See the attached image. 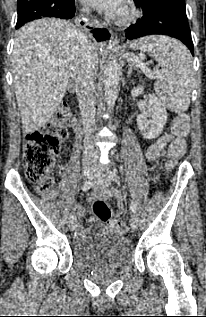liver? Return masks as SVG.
Returning <instances> with one entry per match:
<instances>
[{
  "label": "liver",
  "mask_w": 206,
  "mask_h": 317,
  "mask_svg": "<svg viewBox=\"0 0 206 317\" xmlns=\"http://www.w3.org/2000/svg\"><path fill=\"white\" fill-rule=\"evenodd\" d=\"M79 33L68 21L55 18L33 21L17 32L11 63L25 133L39 130L57 112L78 69ZM49 58L61 59L67 66L51 65Z\"/></svg>",
  "instance_id": "6515ba94"
}]
</instances>
